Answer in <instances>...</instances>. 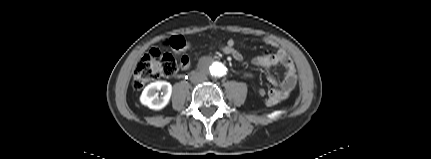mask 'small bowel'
Instances as JSON below:
<instances>
[{"label":"small bowel","instance_id":"1","mask_svg":"<svg viewBox=\"0 0 431 159\" xmlns=\"http://www.w3.org/2000/svg\"><path fill=\"white\" fill-rule=\"evenodd\" d=\"M264 41L272 47L275 46L274 42L268 38ZM211 44L217 48L219 52H222L223 50L228 52L231 47H234L235 52L230 56L237 61H243V56L236 48V42L233 39L228 40L224 45L216 40L212 41ZM251 64L265 69L268 72V79L270 82L278 86V88H273L269 91L264 90L265 95H262V97H265L267 105L279 106L281 101L285 100L291 94L297 83V75L291 58L282 49H277L275 52L268 49L262 55L254 57L251 60ZM278 65H281L284 68V76L280 82L270 73V70ZM189 67L190 59L188 56H183L181 59V69L187 70ZM246 75L251 76L250 73H246Z\"/></svg>","mask_w":431,"mask_h":159}]
</instances>
